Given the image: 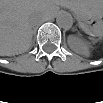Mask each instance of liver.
Returning a JSON list of instances; mask_svg holds the SVG:
<instances>
[{
    "mask_svg": "<svg viewBox=\"0 0 103 103\" xmlns=\"http://www.w3.org/2000/svg\"><path fill=\"white\" fill-rule=\"evenodd\" d=\"M72 7V1L59 0H2L1 54L15 55L26 51L32 41V22L37 17H53L59 6Z\"/></svg>",
    "mask_w": 103,
    "mask_h": 103,
    "instance_id": "1",
    "label": "liver"
}]
</instances>
